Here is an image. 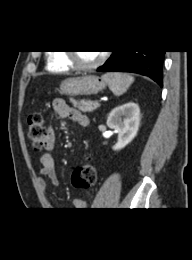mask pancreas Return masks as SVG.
<instances>
[{"mask_svg":"<svg viewBox=\"0 0 192 260\" xmlns=\"http://www.w3.org/2000/svg\"><path fill=\"white\" fill-rule=\"evenodd\" d=\"M70 102L75 108L79 109L84 113H91L96 109V107L93 106L94 103L92 101H86V100L78 101L75 99H70Z\"/></svg>","mask_w":192,"mask_h":260,"instance_id":"obj_1","label":"pancreas"}]
</instances>
